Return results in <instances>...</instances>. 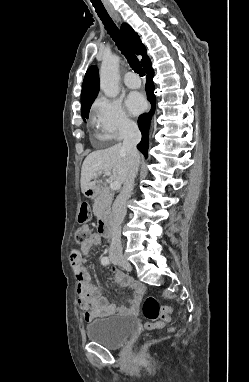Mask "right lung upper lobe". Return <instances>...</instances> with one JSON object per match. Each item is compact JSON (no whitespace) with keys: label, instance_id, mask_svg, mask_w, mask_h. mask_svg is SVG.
Instances as JSON below:
<instances>
[{"label":"right lung upper lobe","instance_id":"obj_1","mask_svg":"<svg viewBox=\"0 0 249 382\" xmlns=\"http://www.w3.org/2000/svg\"><path fill=\"white\" fill-rule=\"evenodd\" d=\"M121 30L128 42L130 43L132 49L137 55H142L141 64L143 65L149 57L146 54V48L141 42L137 33L126 23L122 24ZM99 91V75L98 68L96 66H91L88 68L83 84H82V92H81V112H84L88 109L94 99L96 98Z\"/></svg>","mask_w":249,"mask_h":382}]
</instances>
